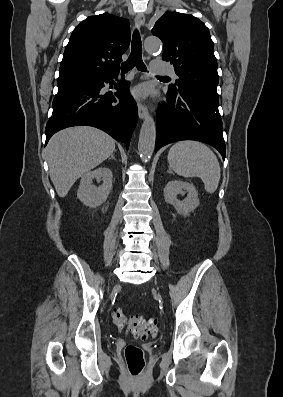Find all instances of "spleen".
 Returning <instances> with one entry per match:
<instances>
[{
  "label": "spleen",
  "mask_w": 283,
  "mask_h": 397,
  "mask_svg": "<svg viewBox=\"0 0 283 397\" xmlns=\"http://www.w3.org/2000/svg\"><path fill=\"white\" fill-rule=\"evenodd\" d=\"M169 167L179 176L200 177L208 193L218 187L221 170L214 152L197 141H180L168 152Z\"/></svg>",
  "instance_id": "1"
}]
</instances>
